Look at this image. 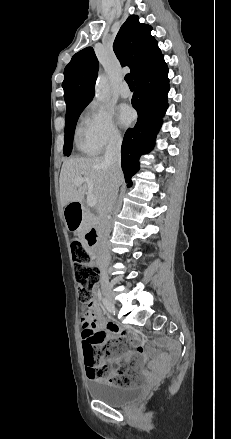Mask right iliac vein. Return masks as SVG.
<instances>
[{
  "label": "right iliac vein",
  "instance_id": "63e3f726",
  "mask_svg": "<svg viewBox=\"0 0 231 439\" xmlns=\"http://www.w3.org/2000/svg\"><path fill=\"white\" fill-rule=\"evenodd\" d=\"M107 297H108V299H109V302L111 303V305H112V308H113V311L115 312V300H114V294H113V291H108L107 292Z\"/></svg>",
  "mask_w": 231,
  "mask_h": 439
}]
</instances>
